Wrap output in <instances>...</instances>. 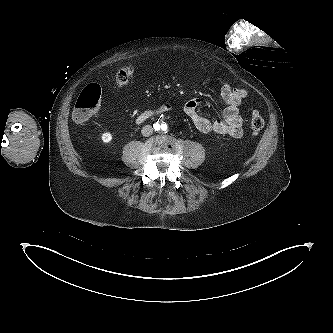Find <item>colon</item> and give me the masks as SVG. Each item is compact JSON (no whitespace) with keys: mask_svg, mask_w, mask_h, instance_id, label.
I'll use <instances>...</instances> for the list:
<instances>
[{"mask_svg":"<svg viewBox=\"0 0 333 333\" xmlns=\"http://www.w3.org/2000/svg\"><path fill=\"white\" fill-rule=\"evenodd\" d=\"M133 73L130 66L121 68L116 73V83L123 86L128 83ZM101 104V88L97 84L87 85L78 96L73 112V120L77 123L89 121L99 110ZM265 121L261 113L255 107L250 109V129L253 135H257L264 127Z\"/></svg>","mask_w":333,"mask_h":333,"instance_id":"obj_1","label":"colon"}]
</instances>
